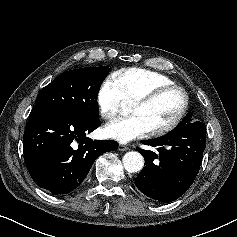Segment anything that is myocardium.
Returning a JSON list of instances; mask_svg holds the SVG:
<instances>
[{
	"label": "myocardium",
	"instance_id": "1",
	"mask_svg": "<svg viewBox=\"0 0 237 237\" xmlns=\"http://www.w3.org/2000/svg\"><path fill=\"white\" fill-rule=\"evenodd\" d=\"M170 91H178L181 94V96H182L181 108H180L179 112L177 113V115L174 117V119L170 123H168L164 126H161L159 128L150 130L149 132H150L151 136L164 135V134L174 130L179 125V123L185 116L187 109H188V105H189L188 93L186 92V90L183 87H181L179 85H175V84L164 85V86H159V87L152 89L151 91L142 95L141 97H139L138 99H136L133 102V105L149 104V103L155 101L161 95H163L167 92H170Z\"/></svg>",
	"mask_w": 237,
	"mask_h": 237
}]
</instances>
